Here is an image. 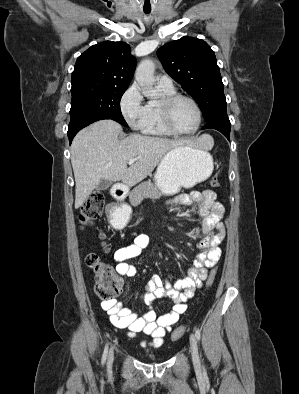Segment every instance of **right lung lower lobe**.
Returning a JSON list of instances; mask_svg holds the SVG:
<instances>
[{
	"instance_id": "98d812e1",
	"label": "right lung lower lobe",
	"mask_w": 299,
	"mask_h": 394,
	"mask_svg": "<svg viewBox=\"0 0 299 394\" xmlns=\"http://www.w3.org/2000/svg\"><path fill=\"white\" fill-rule=\"evenodd\" d=\"M102 119L108 118L106 116H81L71 119L68 126V138L70 143L72 142L73 137L77 134L79 130L95 121Z\"/></svg>"
}]
</instances>
